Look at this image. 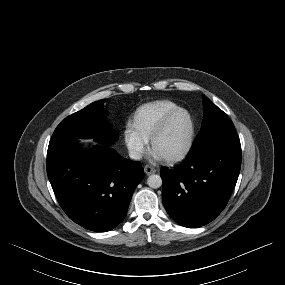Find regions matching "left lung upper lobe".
Segmentation results:
<instances>
[{
  "instance_id": "5c2ea615",
  "label": "left lung upper lobe",
  "mask_w": 285,
  "mask_h": 285,
  "mask_svg": "<svg viewBox=\"0 0 285 285\" xmlns=\"http://www.w3.org/2000/svg\"><path fill=\"white\" fill-rule=\"evenodd\" d=\"M204 119L187 157L229 146H241L238 135L230 118L203 96Z\"/></svg>"
}]
</instances>
